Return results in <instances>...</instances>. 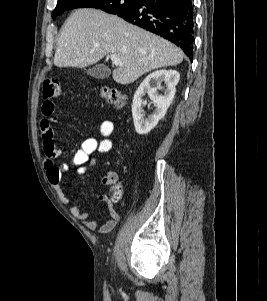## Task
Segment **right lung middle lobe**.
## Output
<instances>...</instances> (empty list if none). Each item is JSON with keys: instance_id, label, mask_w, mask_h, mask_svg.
<instances>
[{"instance_id": "dd1d6c3e", "label": "right lung middle lobe", "mask_w": 267, "mask_h": 301, "mask_svg": "<svg viewBox=\"0 0 267 301\" xmlns=\"http://www.w3.org/2000/svg\"><path fill=\"white\" fill-rule=\"evenodd\" d=\"M138 0H58L52 17L60 15L66 9L95 8L111 14H119L131 9Z\"/></svg>"}]
</instances>
